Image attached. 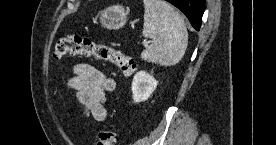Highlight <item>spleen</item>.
I'll return each instance as SVG.
<instances>
[{
  "mask_svg": "<svg viewBox=\"0 0 276 145\" xmlns=\"http://www.w3.org/2000/svg\"><path fill=\"white\" fill-rule=\"evenodd\" d=\"M143 3V35L151 38L152 44L141 53V58L162 66L177 64L188 45V32L182 17L163 0H144Z\"/></svg>",
  "mask_w": 276,
  "mask_h": 145,
  "instance_id": "spleen-1",
  "label": "spleen"
}]
</instances>
